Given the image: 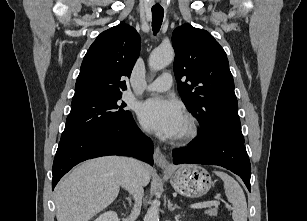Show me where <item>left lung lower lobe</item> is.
Returning a JSON list of instances; mask_svg holds the SVG:
<instances>
[{
    "mask_svg": "<svg viewBox=\"0 0 307 221\" xmlns=\"http://www.w3.org/2000/svg\"><path fill=\"white\" fill-rule=\"evenodd\" d=\"M173 163H194L222 166L239 175L251 191V166L244 145L222 134L197 136L189 147L173 150Z\"/></svg>",
    "mask_w": 307,
    "mask_h": 221,
    "instance_id": "0a47b994",
    "label": "left lung lower lobe"
}]
</instances>
